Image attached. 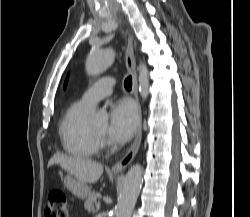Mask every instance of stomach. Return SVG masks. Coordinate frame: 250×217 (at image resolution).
I'll return each mask as SVG.
<instances>
[{
	"label": "stomach",
	"mask_w": 250,
	"mask_h": 217,
	"mask_svg": "<svg viewBox=\"0 0 250 217\" xmlns=\"http://www.w3.org/2000/svg\"><path fill=\"white\" fill-rule=\"evenodd\" d=\"M64 185L73 195L81 200L86 199L91 193V189L87 184L79 182L71 175H67L64 178Z\"/></svg>",
	"instance_id": "1"
}]
</instances>
